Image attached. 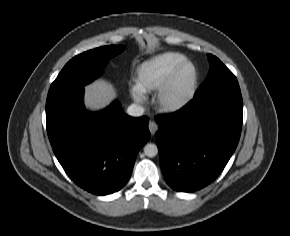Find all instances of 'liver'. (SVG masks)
Segmentation results:
<instances>
[{
  "label": "liver",
  "instance_id": "1",
  "mask_svg": "<svg viewBox=\"0 0 290 236\" xmlns=\"http://www.w3.org/2000/svg\"><path fill=\"white\" fill-rule=\"evenodd\" d=\"M85 105L91 110L103 108L114 98L115 92L113 86L104 81L97 80L85 87Z\"/></svg>",
  "mask_w": 290,
  "mask_h": 236
}]
</instances>
